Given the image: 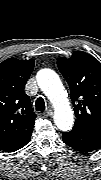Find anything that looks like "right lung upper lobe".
Segmentation results:
<instances>
[{
    "label": "right lung upper lobe",
    "mask_w": 101,
    "mask_h": 180,
    "mask_svg": "<svg viewBox=\"0 0 101 180\" xmlns=\"http://www.w3.org/2000/svg\"><path fill=\"white\" fill-rule=\"evenodd\" d=\"M34 60L8 58L0 64V148L18 150L30 139L36 114L24 87Z\"/></svg>",
    "instance_id": "1"
}]
</instances>
